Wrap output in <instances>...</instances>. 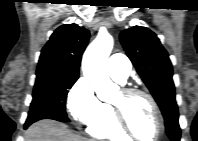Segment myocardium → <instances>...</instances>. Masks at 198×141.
I'll list each match as a JSON object with an SVG mask.
<instances>
[{"mask_svg": "<svg viewBox=\"0 0 198 141\" xmlns=\"http://www.w3.org/2000/svg\"><path fill=\"white\" fill-rule=\"evenodd\" d=\"M121 93H122V95H124L126 97L140 95V96L145 97L149 101V103L153 109L154 115H155L156 126H157L156 135L151 141H158L164 131V122H163V117H162L160 108H159L155 98L150 93H148L142 89H138V88H123L121 90ZM110 106L113 111V116H114L115 122L118 125V127L121 129V131L124 132L128 137L134 138L136 140H141L134 133V131L131 129V127L127 121V118H126L123 108H121L113 103H111Z\"/></svg>", "mask_w": 198, "mask_h": 141, "instance_id": "myocardium-1", "label": "myocardium"}]
</instances>
